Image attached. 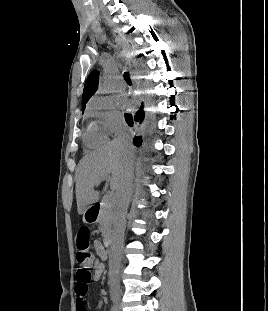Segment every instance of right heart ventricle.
<instances>
[{"label": "right heart ventricle", "instance_id": "right-heart-ventricle-1", "mask_svg": "<svg viewBox=\"0 0 268 311\" xmlns=\"http://www.w3.org/2000/svg\"><path fill=\"white\" fill-rule=\"evenodd\" d=\"M106 139H107V136L105 132L101 128H99L97 125L90 124L88 126L85 136H84L85 143L88 146L90 147L97 146L105 142Z\"/></svg>", "mask_w": 268, "mask_h": 311}]
</instances>
